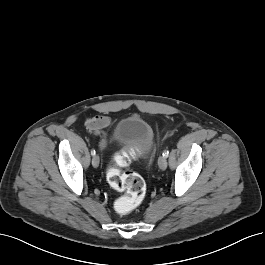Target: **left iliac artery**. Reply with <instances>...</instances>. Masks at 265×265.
<instances>
[{
  "instance_id": "left-iliac-artery-1",
  "label": "left iliac artery",
  "mask_w": 265,
  "mask_h": 265,
  "mask_svg": "<svg viewBox=\"0 0 265 265\" xmlns=\"http://www.w3.org/2000/svg\"><path fill=\"white\" fill-rule=\"evenodd\" d=\"M168 155H169V151H168V150H165V151L163 152V156L167 158Z\"/></svg>"
}]
</instances>
